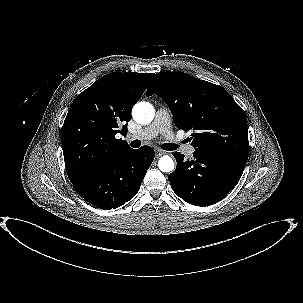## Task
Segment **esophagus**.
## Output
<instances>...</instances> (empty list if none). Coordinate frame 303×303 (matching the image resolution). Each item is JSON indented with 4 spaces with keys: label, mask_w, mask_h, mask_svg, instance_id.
Returning <instances> with one entry per match:
<instances>
[{
    "label": "esophagus",
    "mask_w": 303,
    "mask_h": 303,
    "mask_svg": "<svg viewBox=\"0 0 303 303\" xmlns=\"http://www.w3.org/2000/svg\"><path fill=\"white\" fill-rule=\"evenodd\" d=\"M165 152L162 151V150H159V149H156L155 150V157L158 158V157H161L162 155H164Z\"/></svg>",
    "instance_id": "obj_1"
}]
</instances>
